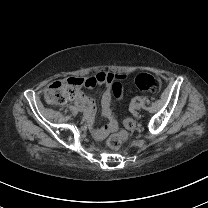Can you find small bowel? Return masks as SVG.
Here are the masks:
<instances>
[{"label":"small bowel","instance_id":"c3829d8e","mask_svg":"<svg viewBox=\"0 0 208 208\" xmlns=\"http://www.w3.org/2000/svg\"><path fill=\"white\" fill-rule=\"evenodd\" d=\"M73 101L75 103H79V104L84 105L85 117H86L87 121L93 122V120H94V106H93V102L91 101V99L88 98L87 96H85L81 91H78L76 93V95L74 96ZM101 104H102L103 113L107 118H109L110 122L106 126L97 128L96 131L99 134H105L108 131L113 130L116 126L113 116L111 114V92L108 87L102 93Z\"/></svg>","mask_w":208,"mask_h":208}]
</instances>
